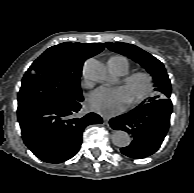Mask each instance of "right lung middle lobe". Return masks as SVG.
<instances>
[{
    "instance_id": "right-lung-middle-lobe-1",
    "label": "right lung middle lobe",
    "mask_w": 194,
    "mask_h": 193,
    "mask_svg": "<svg viewBox=\"0 0 194 193\" xmlns=\"http://www.w3.org/2000/svg\"><path fill=\"white\" fill-rule=\"evenodd\" d=\"M81 73L24 75L18 94V106L29 104H72L80 101Z\"/></svg>"
}]
</instances>
